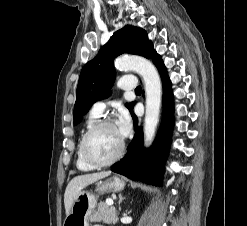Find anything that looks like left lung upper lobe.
Here are the masks:
<instances>
[{
	"mask_svg": "<svg viewBox=\"0 0 247 226\" xmlns=\"http://www.w3.org/2000/svg\"><path fill=\"white\" fill-rule=\"evenodd\" d=\"M122 53L149 59L156 51L145 30L127 25L116 31L96 57L87 62L81 70L74 106L75 125L82 120V116L88 112L93 103L110 95L115 75L113 61ZM133 105L134 102L126 104L130 111Z\"/></svg>",
	"mask_w": 247,
	"mask_h": 226,
	"instance_id": "obj_1",
	"label": "left lung upper lobe"
}]
</instances>
